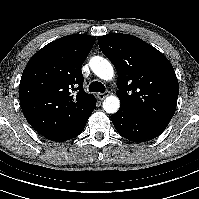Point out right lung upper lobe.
<instances>
[{
	"instance_id": "right-lung-upper-lobe-1",
	"label": "right lung upper lobe",
	"mask_w": 199,
	"mask_h": 199,
	"mask_svg": "<svg viewBox=\"0 0 199 199\" xmlns=\"http://www.w3.org/2000/svg\"><path fill=\"white\" fill-rule=\"evenodd\" d=\"M95 40L84 34L64 36L44 46L27 63L19 99L25 118L42 136L74 129L94 107L95 97L83 89L81 67Z\"/></svg>"
}]
</instances>
